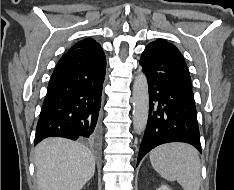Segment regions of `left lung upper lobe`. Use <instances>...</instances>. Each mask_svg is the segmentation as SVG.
<instances>
[{
    "label": "left lung upper lobe",
    "instance_id": "1",
    "mask_svg": "<svg viewBox=\"0 0 234 190\" xmlns=\"http://www.w3.org/2000/svg\"><path fill=\"white\" fill-rule=\"evenodd\" d=\"M181 76H182V79L185 82V84L191 88L190 74H189L188 67H187L184 60H183L182 65H181Z\"/></svg>",
    "mask_w": 234,
    "mask_h": 190
}]
</instances>
